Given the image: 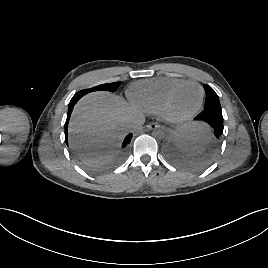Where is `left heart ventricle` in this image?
<instances>
[{"instance_id": "left-heart-ventricle-1", "label": "left heart ventricle", "mask_w": 268, "mask_h": 268, "mask_svg": "<svg viewBox=\"0 0 268 268\" xmlns=\"http://www.w3.org/2000/svg\"><path fill=\"white\" fill-rule=\"evenodd\" d=\"M200 91L196 86H187L175 96L171 110L177 115H184L191 112L198 104Z\"/></svg>"}]
</instances>
